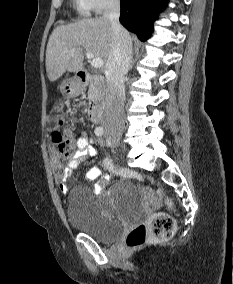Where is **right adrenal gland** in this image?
I'll use <instances>...</instances> for the list:
<instances>
[{"mask_svg": "<svg viewBox=\"0 0 233 284\" xmlns=\"http://www.w3.org/2000/svg\"><path fill=\"white\" fill-rule=\"evenodd\" d=\"M132 58H133V55H132ZM132 66H133V62L131 63L130 69H132Z\"/></svg>", "mask_w": 233, "mask_h": 284, "instance_id": "1", "label": "right adrenal gland"}]
</instances>
